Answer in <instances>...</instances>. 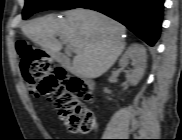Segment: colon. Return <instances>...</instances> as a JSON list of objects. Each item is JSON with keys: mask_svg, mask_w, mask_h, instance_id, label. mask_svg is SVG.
<instances>
[{"mask_svg": "<svg viewBox=\"0 0 182 140\" xmlns=\"http://www.w3.org/2000/svg\"><path fill=\"white\" fill-rule=\"evenodd\" d=\"M20 68L32 94L48 99L58 109L71 132L88 133L95 128L96 118L82 100H90L85 83L70 77L55 66L50 56L26 40L16 42Z\"/></svg>", "mask_w": 182, "mask_h": 140, "instance_id": "obj_1", "label": "colon"}]
</instances>
